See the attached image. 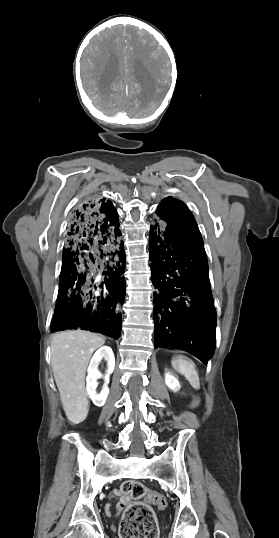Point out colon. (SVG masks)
Wrapping results in <instances>:
<instances>
[{
	"instance_id": "5ec220e1",
	"label": "colon",
	"mask_w": 279,
	"mask_h": 538,
	"mask_svg": "<svg viewBox=\"0 0 279 538\" xmlns=\"http://www.w3.org/2000/svg\"><path fill=\"white\" fill-rule=\"evenodd\" d=\"M121 489L124 494L130 495L134 500V503L126 510L120 525L121 538H156V519L147 503L154 504L158 509L163 510L167 505L166 497L159 492L149 491L144 485L134 481L125 482Z\"/></svg>"
}]
</instances>
